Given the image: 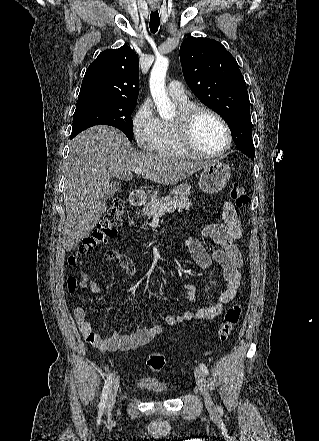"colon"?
Returning a JSON list of instances; mask_svg holds the SVG:
<instances>
[{
  "mask_svg": "<svg viewBox=\"0 0 319 441\" xmlns=\"http://www.w3.org/2000/svg\"><path fill=\"white\" fill-rule=\"evenodd\" d=\"M230 198L238 207H244L248 203L247 192L237 182H234L231 186ZM123 212V201L120 198H115L92 234L85 238L78 251L69 257L68 263L70 265L76 264L81 256L97 249L105 244L108 239L114 237L117 227L121 223ZM67 287L70 292L75 291V278H68ZM241 315L242 306L240 304H235L226 311L224 321L220 324L217 330V339L219 342H226L229 339L234 328L237 326ZM146 363L151 371L157 372L164 367L165 361L160 354H151L148 356Z\"/></svg>",
  "mask_w": 319,
  "mask_h": 441,
  "instance_id": "colon-1",
  "label": "colon"
}]
</instances>
